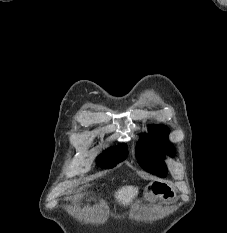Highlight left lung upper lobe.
Segmentation results:
<instances>
[{
	"instance_id": "1",
	"label": "left lung upper lobe",
	"mask_w": 227,
	"mask_h": 233,
	"mask_svg": "<svg viewBox=\"0 0 227 233\" xmlns=\"http://www.w3.org/2000/svg\"><path fill=\"white\" fill-rule=\"evenodd\" d=\"M169 130L165 126H153L148 135L137 143L136 156L140 166L146 171L165 177L167 167L164 154L173 155V146L168 144Z\"/></svg>"
}]
</instances>
